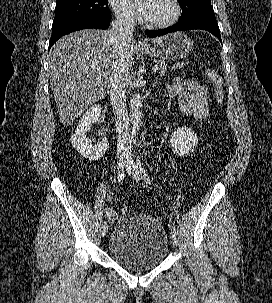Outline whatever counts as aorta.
Instances as JSON below:
<instances>
[{
  "label": "aorta",
  "mask_w": 272,
  "mask_h": 303,
  "mask_svg": "<svg viewBox=\"0 0 272 303\" xmlns=\"http://www.w3.org/2000/svg\"><path fill=\"white\" fill-rule=\"evenodd\" d=\"M130 123H131V134L136 136L140 129L142 120V101L139 94L134 93L130 99Z\"/></svg>",
  "instance_id": "aorta-1"
}]
</instances>
